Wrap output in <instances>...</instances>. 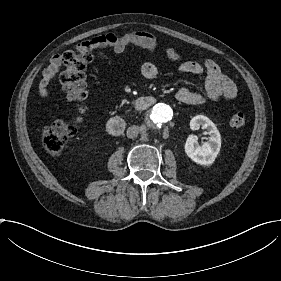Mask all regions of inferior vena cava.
<instances>
[{"label":"inferior vena cava","instance_id":"1","mask_svg":"<svg viewBox=\"0 0 281 281\" xmlns=\"http://www.w3.org/2000/svg\"><path fill=\"white\" fill-rule=\"evenodd\" d=\"M139 134V127L138 126H130L127 129V137L128 138H136Z\"/></svg>","mask_w":281,"mask_h":281}]
</instances>
